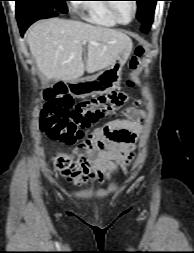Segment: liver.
I'll return each mask as SVG.
<instances>
[{"mask_svg": "<svg viewBox=\"0 0 194 253\" xmlns=\"http://www.w3.org/2000/svg\"><path fill=\"white\" fill-rule=\"evenodd\" d=\"M83 41L88 43L89 73L109 67L123 50L131 51L133 46L121 31L74 20H41L27 31L30 52L47 80L71 81L84 74Z\"/></svg>", "mask_w": 194, "mask_h": 253, "instance_id": "6515ba94", "label": "liver"}]
</instances>
